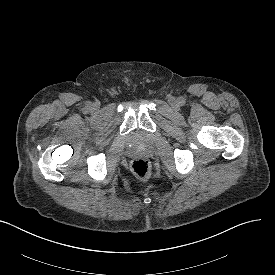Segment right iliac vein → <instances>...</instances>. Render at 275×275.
I'll list each match as a JSON object with an SVG mask.
<instances>
[{"mask_svg":"<svg viewBox=\"0 0 275 275\" xmlns=\"http://www.w3.org/2000/svg\"><path fill=\"white\" fill-rule=\"evenodd\" d=\"M98 108H99V106H98V104H91V110L92 111H97L98 110Z\"/></svg>","mask_w":275,"mask_h":275,"instance_id":"obj_1","label":"right iliac vein"}]
</instances>
